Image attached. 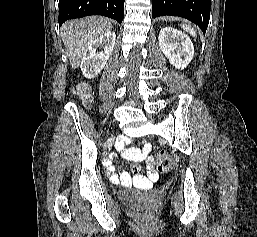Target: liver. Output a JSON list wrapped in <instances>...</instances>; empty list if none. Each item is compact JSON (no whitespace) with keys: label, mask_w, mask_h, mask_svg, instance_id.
I'll list each match as a JSON object with an SVG mask.
<instances>
[{"label":"liver","mask_w":257,"mask_h":237,"mask_svg":"<svg viewBox=\"0 0 257 237\" xmlns=\"http://www.w3.org/2000/svg\"><path fill=\"white\" fill-rule=\"evenodd\" d=\"M111 29V22L104 17L92 16L66 22L61 28V37L71 67L76 69L90 43Z\"/></svg>","instance_id":"liver-1"}]
</instances>
